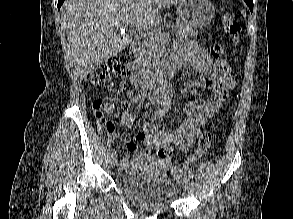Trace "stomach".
I'll use <instances>...</instances> for the list:
<instances>
[{
	"label": "stomach",
	"mask_w": 293,
	"mask_h": 219,
	"mask_svg": "<svg viewBox=\"0 0 293 219\" xmlns=\"http://www.w3.org/2000/svg\"><path fill=\"white\" fill-rule=\"evenodd\" d=\"M178 12L181 19L191 26L203 27L211 22L215 9L209 0H183Z\"/></svg>",
	"instance_id": "obj_1"
}]
</instances>
